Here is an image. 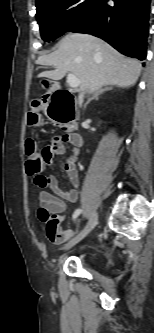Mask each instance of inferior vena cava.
Listing matches in <instances>:
<instances>
[{"instance_id": "inferior-vena-cava-1", "label": "inferior vena cava", "mask_w": 154, "mask_h": 333, "mask_svg": "<svg viewBox=\"0 0 154 333\" xmlns=\"http://www.w3.org/2000/svg\"><path fill=\"white\" fill-rule=\"evenodd\" d=\"M79 105L81 106L82 105V102H83V94H80L79 95Z\"/></svg>"}]
</instances>
